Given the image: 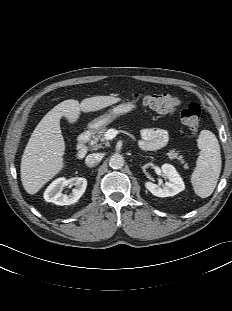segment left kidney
<instances>
[{"instance_id":"left-kidney-1","label":"left kidney","mask_w":232,"mask_h":311,"mask_svg":"<svg viewBox=\"0 0 232 311\" xmlns=\"http://www.w3.org/2000/svg\"><path fill=\"white\" fill-rule=\"evenodd\" d=\"M162 173L169 179L163 188L152 182H145V187L157 197H169L182 192L185 189V184L176 171L175 167L170 164H164L161 167Z\"/></svg>"}]
</instances>
